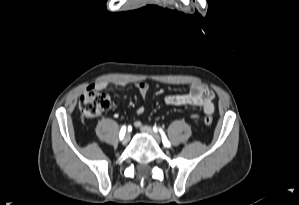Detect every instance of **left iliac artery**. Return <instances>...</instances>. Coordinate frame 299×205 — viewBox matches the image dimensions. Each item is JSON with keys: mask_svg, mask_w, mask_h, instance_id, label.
Wrapping results in <instances>:
<instances>
[{"mask_svg": "<svg viewBox=\"0 0 299 205\" xmlns=\"http://www.w3.org/2000/svg\"><path fill=\"white\" fill-rule=\"evenodd\" d=\"M153 129H154L155 132H157V128H156V127H154ZM159 132H160V134H161V136H162V141H163L164 146H166V147H170L171 144H170V142L168 141V139H167V137H166L164 131H163L162 129H159Z\"/></svg>", "mask_w": 299, "mask_h": 205, "instance_id": "44dca946", "label": "left iliac artery"}]
</instances>
